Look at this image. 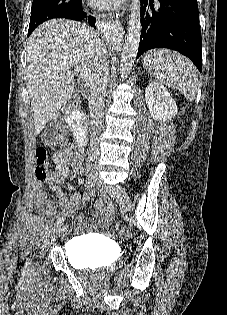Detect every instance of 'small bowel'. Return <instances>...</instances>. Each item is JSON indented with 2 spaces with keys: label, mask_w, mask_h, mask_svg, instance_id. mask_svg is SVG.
<instances>
[{
  "label": "small bowel",
  "mask_w": 227,
  "mask_h": 315,
  "mask_svg": "<svg viewBox=\"0 0 227 315\" xmlns=\"http://www.w3.org/2000/svg\"><path fill=\"white\" fill-rule=\"evenodd\" d=\"M81 160V150L77 145L74 144L71 145L70 148L64 153H57L53 156L56 171L51 176L49 185L52 191L59 198L60 204L66 215L71 214L74 210L79 208V201L76 197H73L71 200L65 199L61 192L60 186L64 180L71 177V168L78 169ZM33 194L37 205L44 210L47 216H52L59 210L60 206L57 203L51 202L47 199L42 184H34ZM94 208L101 213L102 219L105 221H108L113 216L114 209L111 203L108 201H96L94 203Z\"/></svg>",
  "instance_id": "c3829d8e"
}]
</instances>
